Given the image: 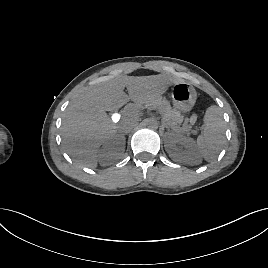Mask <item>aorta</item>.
I'll return each instance as SVG.
<instances>
[{"mask_svg": "<svg viewBox=\"0 0 268 268\" xmlns=\"http://www.w3.org/2000/svg\"><path fill=\"white\" fill-rule=\"evenodd\" d=\"M146 125L151 130H157L158 127H159V123H158V121L155 118H149L146 121Z\"/></svg>", "mask_w": 268, "mask_h": 268, "instance_id": "762f6f07", "label": "aorta"}]
</instances>
